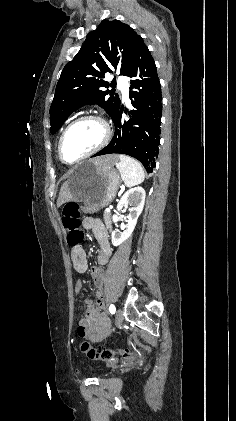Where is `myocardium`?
Segmentation results:
<instances>
[{
  "mask_svg": "<svg viewBox=\"0 0 236 421\" xmlns=\"http://www.w3.org/2000/svg\"><path fill=\"white\" fill-rule=\"evenodd\" d=\"M84 121H94V122H98L99 124H101V126L103 127L104 130V135H103V139L102 141L95 147L93 148L90 152L86 153L85 155L75 159L72 162H68L65 160L64 156H63V143H64V139L67 135V133L69 132V130L74 127L75 125L84 122ZM111 135H112V131H111V127L109 125V123L101 116L98 115H85L82 117H79L78 119L72 121L63 131V133L61 134L59 143H58V155L60 160L67 165H72L75 164L83 159H86L92 155H94L95 153L99 152L100 150H102L104 147L107 146V144L109 143L110 139H111Z\"/></svg>",
  "mask_w": 236,
  "mask_h": 421,
  "instance_id": "obj_1",
  "label": "myocardium"
}]
</instances>
